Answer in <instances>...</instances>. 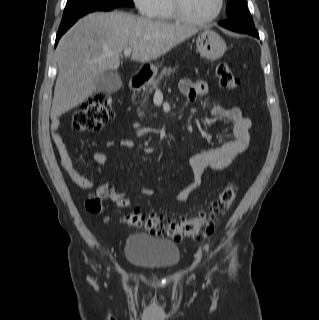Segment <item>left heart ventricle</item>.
Segmentation results:
<instances>
[{"mask_svg":"<svg viewBox=\"0 0 319 320\" xmlns=\"http://www.w3.org/2000/svg\"><path fill=\"white\" fill-rule=\"evenodd\" d=\"M186 13L193 18L203 19L215 13L218 0H181Z\"/></svg>","mask_w":319,"mask_h":320,"instance_id":"b2bd125f","label":"left heart ventricle"}]
</instances>
